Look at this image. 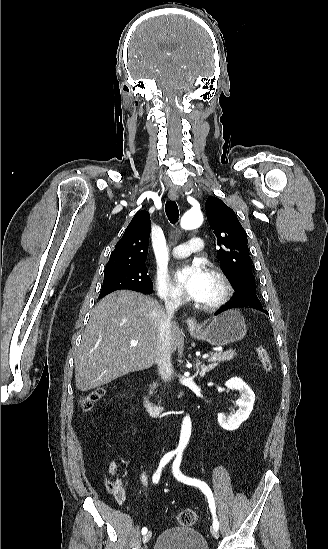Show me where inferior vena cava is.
<instances>
[{"label":"inferior vena cava","instance_id":"inferior-vena-cava-1","mask_svg":"<svg viewBox=\"0 0 328 549\" xmlns=\"http://www.w3.org/2000/svg\"><path fill=\"white\" fill-rule=\"evenodd\" d=\"M164 303L166 319H164L159 329V357L157 365L160 367V375L164 383H169V381H171V373L173 371L170 351V321H172L176 311H178L181 301L180 299H165Z\"/></svg>","mask_w":328,"mask_h":549}]
</instances>
